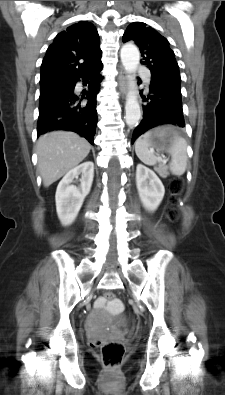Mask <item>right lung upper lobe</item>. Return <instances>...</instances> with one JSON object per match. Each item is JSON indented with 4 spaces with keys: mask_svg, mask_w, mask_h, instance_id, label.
<instances>
[{
    "mask_svg": "<svg viewBox=\"0 0 225 395\" xmlns=\"http://www.w3.org/2000/svg\"><path fill=\"white\" fill-rule=\"evenodd\" d=\"M99 35L93 24L80 21L60 32L41 65L40 87L92 69L101 59Z\"/></svg>",
    "mask_w": 225,
    "mask_h": 395,
    "instance_id": "1",
    "label": "right lung upper lobe"
}]
</instances>
